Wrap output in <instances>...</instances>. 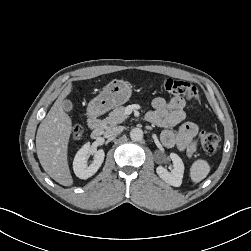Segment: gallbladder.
<instances>
[{
    "label": "gallbladder",
    "mask_w": 251,
    "mask_h": 251,
    "mask_svg": "<svg viewBox=\"0 0 251 251\" xmlns=\"http://www.w3.org/2000/svg\"><path fill=\"white\" fill-rule=\"evenodd\" d=\"M62 107H63L64 111L69 112L73 109V104L70 100L66 99L62 102Z\"/></svg>",
    "instance_id": "gallbladder-1"
}]
</instances>
